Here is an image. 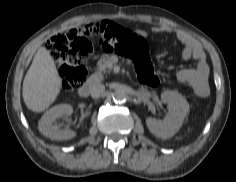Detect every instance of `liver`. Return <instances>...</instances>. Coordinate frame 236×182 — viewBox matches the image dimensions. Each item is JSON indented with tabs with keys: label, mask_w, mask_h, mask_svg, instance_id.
Returning a JSON list of instances; mask_svg holds the SVG:
<instances>
[{
	"label": "liver",
	"mask_w": 236,
	"mask_h": 182,
	"mask_svg": "<svg viewBox=\"0 0 236 182\" xmlns=\"http://www.w3.org/2000/svg\"><path fill=\"white\" fill-rule=\"evenodd\" d=\"M61 91V79L55 62L45 47L35 54L24 81L22 96L25 105L33 112H43Z\"/></svg>",
	"instance_id": "1"
}]
</instances>
